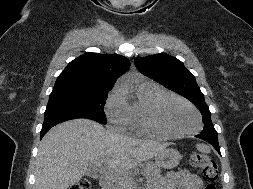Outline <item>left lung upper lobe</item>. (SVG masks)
I'll return each instance as SVG.
<instances>
[{
    "mask_svg": "<svg viewBox=\"0 0 253 189\" xmlns=\"http://www.w3.org/2000/svg\"><path fill=\"white\" fill-rule=\"evenodd\" d=\"M134 62L142 74L184 96L201 111L205 121L201 133L217 135L204 95L200 91L195 77L181 61L167 54H156L142 58L137 57Z\"/></svg>",
    "mask_w": 253,
    "mask_h": 189,
    "instance_id": "5c2ea615",
    "label": "left lung upper lobe"
}]
</instances>
